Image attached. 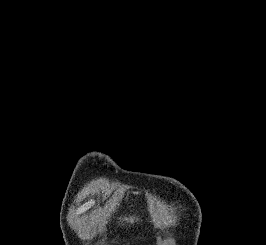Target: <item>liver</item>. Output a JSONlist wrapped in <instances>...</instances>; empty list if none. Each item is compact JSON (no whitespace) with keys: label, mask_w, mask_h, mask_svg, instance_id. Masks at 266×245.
I'll list each match as a JSON object with an SVG mask.
<instances>
[{"label":"liver","mask_w":266,"mask_h":245,"mask_svg":"<svg viewBox=\"0 0 266 245\" xmlns=\"http://www.w3.org/2000/svg\"><path fill=\"white\" fill-rule=\"evenodd\" d=\"M130 223H133L134 219H129Z\"/></svg>","instance_id":"obj_1"}]
</instances>
